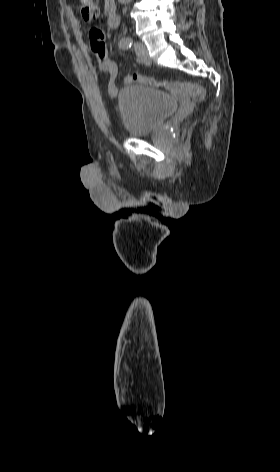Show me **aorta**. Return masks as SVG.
I'll list each match as a JSON object with an SVG mask.
<instances>
[{
	"label": "aorta",
	"instance_id": "1",
	"mask_svg": "<svg viewBox=\"0 0 280 472\" xmlns=\"http://www.w3.org/2000/svg\"><path fill=\"white\" fill-rule=\"evenodd\" d=\"M119 1L125 3V2H128L130 0H119Z\"/></svg>",
	"mask_w": 280,
	"mask_h": 472
}]
</instances>
